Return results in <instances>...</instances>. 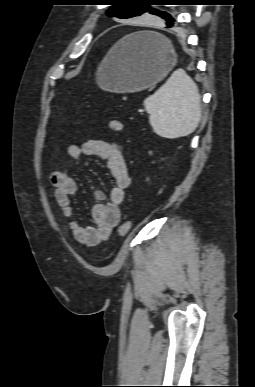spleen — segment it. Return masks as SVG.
<instances>
[{
  "label": "spleen",
  "mask_w": 255,
  "mask_h": 387,
  "mask_svg": "<svg viewBox=\"0 0 255 387\" xmlns=\"http://www.w3.org/2000/svg\"><path fill=\"white\" fill-rule=\"evenodd\" d=\"M200 98L198 87L191 77L183 69L175 70L143 102L153 131L169 139L194 132L201 119Z\"/></svg>",
  "instance_id": "obj_1"
}]
</instances>
